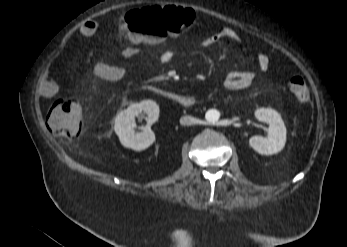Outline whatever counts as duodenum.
Returning <instances> with one entry per match:
<instances>
[{"instance_id":"410a0bca","label":"duodenum","mask_w":347,"mask_h":247,"mask_svg":"<svg viewBox=\"0 0 347 247\" xmlns=\"http://www.w3.org/2000/svg\"><path fill=\"white\" fill-rule=\"evenodd\" d=\"M161 95L174 102L175 104L186 108L193 107L197 103V99L191 95L179 94L166 90L161 91Z\"/></svg>"}]
</instances>
